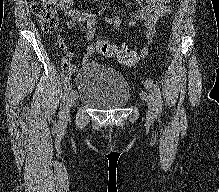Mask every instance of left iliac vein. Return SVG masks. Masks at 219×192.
<instances>
[{
	"mask_svg": "<svg viewBox=\"0 0 219 192\" xmlns=\"http://www.w3.org/2000/svg\"><path fill=\"white\" fill-rule=\"evenodd\" d=\"M142 98L147 102L148 105V116L154 118L156 115L157 107L154 97L151 94H142Z\"/></svg>",
	"mask_w": 219,
	"mask_h": 192,
	"instance_id": "obj_1",
	"label": "left iliac vein"
}]
</instances>
